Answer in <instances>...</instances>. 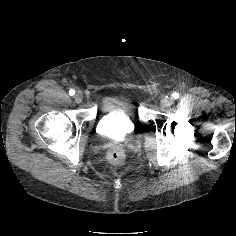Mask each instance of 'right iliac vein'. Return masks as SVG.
Returning a JSON list of instances; mask_svg holds the SVG:
<instances>
[{
	"instance_id": "obj_1",
	"label": "right iliac vein",
	"mask_w": 236,
	"mask_h": 236,
	"mask_svg": "<svg viewBox=\"0 0 236 236\" xmlns=\"http://www.w3.org/2000/svg\"><path fill=\"white\" fill-rule=\"evenodd\" d=\"M74 100H75L76 103H81L82 100H83L82 92L78 91L74 96Z\"/></svg>"
}]
</instances>
